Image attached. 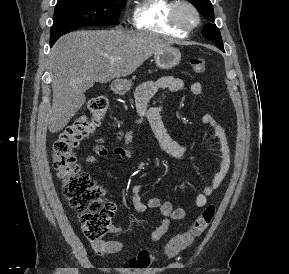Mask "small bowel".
I'll return each instance as SVG.
<instances>
[{
    "instance_id": "small-bowel-1",
    "label": "small bowel",
    "mask_w": 289,
    "mask_h": 274,
    "mask_svg": "<svg viewBox=\"0 0 289 274\" xmlns=\"http://www.w3.org/2000/svg\"><path fill=\"white\" fill-rule=\"evenodd\" d=\"M184 87L182 79L172 76L161 77L156 81H149L142 84L136 93V110L139 115L137 123L142 122L146 118L151 125V128L159 141L164 151L175 158H184L188 154V147L185 144L179 143L173 139L164 126L161 116V107L158 105L149 106L151 99L161 90L169 92H178ZM190 90L193 95L204 98L203 86L199 82L192 83ZM202 123L212 129L215 137L218 140L219 161L216 172L211 181L201 187V191L194 199V205L197 208H202L207 204L208 196H210L223 182L226 177L231 163L230 147L227 134L219 121L212 114H205L201 119ZM117 139L124 140V146L108 148L104 145V139L98 138L96 145L93 147L95 155H88L85 159L89 166H96L98 163L97 156L106 157L110 154H116L122 158H130L131 150L129 144L132 140V131H118ZM131 202L134 209L138 212H144L147 209H158L163 217L160 225L154 229L149 240L156 242L160 240L168 231L171 222L181 220L185 217L186 211L183 208H174L169 201H164L158 197H148L145 200L141 198V186L134 185L131 191ZM119 227H112V233H120ZM95 251L102 255L108 256L120 253L124 249V244L119 240H100L94 245Z\"/></svg>"
}]
</instances>
